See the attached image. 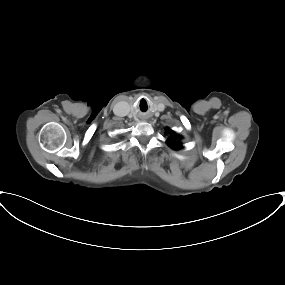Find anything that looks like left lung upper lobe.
Segmentation results:
<instances>
[{
	"label": "left lung upper lobe",
	"instance_id": "left-lung-upper-lobe-1",
	"mask_svg": "<svg viewBox=\"0 0 285 285\" xmlns=\"http://www.w3.org/2000/svg\"><path fill=\"white\" fill-rule=\"evenodd\" d=\"M166 133L169 134V138L167 139V144L172 148V149H181L182 145L177 141L178 138H181L179 135L175 134L172 130L169 128H166ZM165 133V134H166Z\"/></svg>",
	"mask_w": 285,
	"mask_h": 285
}]
</instances>
